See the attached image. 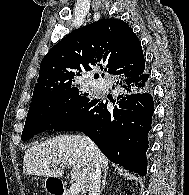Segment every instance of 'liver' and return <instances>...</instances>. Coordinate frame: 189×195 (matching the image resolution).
Listing matches in <instances>:
<instances>
[{"label": "liver", "mask_w": 189, "mask_h": 195, "mask_svg": "<svg viewBox=\"0 0 189 195\" xmlns=\"http://www.w3.org/2000/svg\"><path fill=\"white\" fill-rule=\"evenodd\" d=\"M108 169L109 160L89 139L82 135H61L36 143L25 151L23 172L29 175L58 178L63 169L57 164L72 167L71 179L80 185L83 193L88 191L89 178L94 164Z\"/></svg>", "instance_id": "obj_1"}]
</instances>
